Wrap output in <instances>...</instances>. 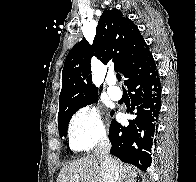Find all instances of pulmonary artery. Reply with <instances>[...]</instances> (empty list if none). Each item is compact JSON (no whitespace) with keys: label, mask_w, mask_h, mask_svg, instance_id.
Listing matches in <instances>:
<instances>
[{"label":"pulmonary artery","mask_w":196,"mask_h":182,"mask_svg":"<svg viewBox=\"0 0 196 182\" xmlns=\"http://www.w3.org/2000/svg\"><path fill=\"white\" fill-rule=\"evenodd\" d=\"M115 83V79L108 80L107 93L113 100H119L122 97V91Z\"/></svg>","instance_id":"pulmonary-artery-1"}]
</instances>
